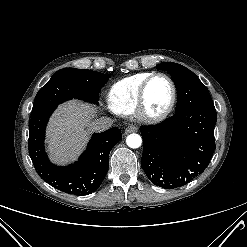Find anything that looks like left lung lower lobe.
<instances>
[{
  "instance_id": "obj_1",
  "label": "left lung lower lobe",
  "mask_w": 247,
  "mask_h": 247,
  "mask_svg": "<svg viewBox=\"0 0 247 247\" xmlns=\"http://www.w3.org/2000/svg\"><path fill=\"white\" fill-rule=\"evenodd\" d=\"M213 103L175 113L157 125L141 126V166L150 181L166 189L181 187L200 175L215 150Z\"/></svg>"
}]
</instances>
